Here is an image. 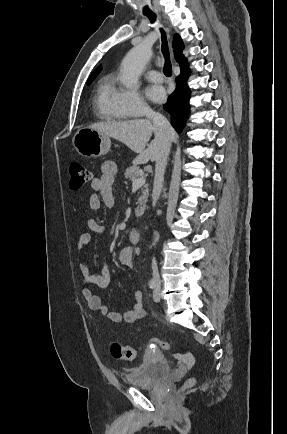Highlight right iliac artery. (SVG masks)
<instances>
[{"mask_svg": "<svg viewBox=\"0 0 287 434\" xmlns=\"http://www.w3.org/2000/svg\"><path fill=\"white\" fill-rule=\"evenodd\" d=\"M149 287H150L151 289H154V288L156 287V281H155L154 279H151V280L149 281Z\"/></svg>", "mask_w": 287, "mask_h": 434, "instance_id": "obj_1", "label": "right iliac artery"}]
</instances>
